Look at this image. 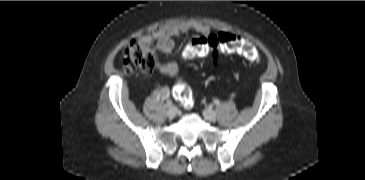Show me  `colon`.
Here are the masks:
<instances>
[{
    "label": "colon",
    "mask_w": 365,
    "mask_h": 180,
    "mask_svg": "<svg viewBox=\"0 0 365 180\" xmlns=\"http://www.w3.org/2000/svg\"><path fill=\"white\" fill-rule=\"evenodd\" d=\"M210 52L235 53L251 62L260 61V54L251 42L230 33H220L207 38H194L184 49V55L187 58L204 57ZM121 55L123 70L129 75L148 74L157 65L154 51L136 40L126 44L122 48ZM173 94L184 108H190L193 105L192 93L185 83H177L173 89Z\"/></svg>",
    "instance_id": "5ec220e1"
}]
</instances>
